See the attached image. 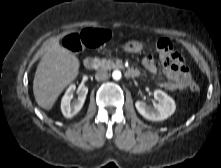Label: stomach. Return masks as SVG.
Returning a JSON list of instances; mask_svg holds the SVG:
<instances>
[{
    "label": "stomach",
    "instance_id": "1",
    "mask_svg": "<svg viewBox=\"0 0 221 168\" xmlns=\"http://www.w3.org/2000/svg\"><path fill=\"white\" fill-rule=\"evenodd\" d=\"M143 43L137 40H130L123 45V50L128 53H140L143 50Z\"/></svg>",
    "mask_w": 221,
    "mask_h": 168
}]
</instances>
